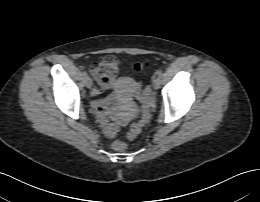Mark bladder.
<instances>
[{
    "instance_id": "obj_1",
    "label": "bladder",
    "mask_w": 260,
    "mask_h": 202,
    "mask_svg": "<svg viewBox=\"0 0 260 202\" xmlns=\"http://www.w3.org/2000/svg\"><path fill=\"white\" fill-rule=\"evenodd\" d=\"M135 86V82L131 77H120L115 82L114 92L120 101L128 104L132 101Z\"/></svg>"
}]
</instances>
